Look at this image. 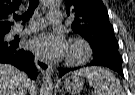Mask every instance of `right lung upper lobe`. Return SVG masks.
Wrapping results in <instances>:
<instances>
[{
    "mask_svg": "<svg viewBox=\"0 0 135 95\" xmlns=\"http://www.w3.org/2000/svg\"><path fill=\"white\" fill-rule=\"evenodd\" d=\"M20 4L21 0H0V31L10 30V15L19 9Z\"/></svg>",
    "mask_w": 135,
    "mask_h": 95,
    "instance_id": "cb5924a9",
    "label": "right lung upper lobe"
}]
</instances>
